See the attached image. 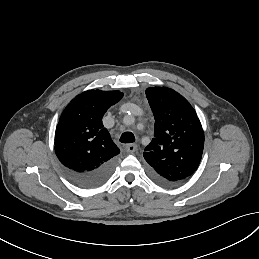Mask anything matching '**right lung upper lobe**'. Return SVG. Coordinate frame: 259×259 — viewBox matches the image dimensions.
I'll return each mask as SVG.
<instances>
[{
    "mask_svg": "<svg viewBox=\"0 0 259 259\" xmlns=\"http://www.w3.org/2000/svg\"><path fill=\"white\" fill-rule=\"evenodd\" d=\"M122 96L120 91L89 90L67 105L55 133V152L66 168L91 171L120 153L102 118Z\"/></svg>",
    "mask_w": 259,
    "mask_h": 259,
    "instance_id": "1",
    "label": "right lung upper lobe"
}]
</instances>
